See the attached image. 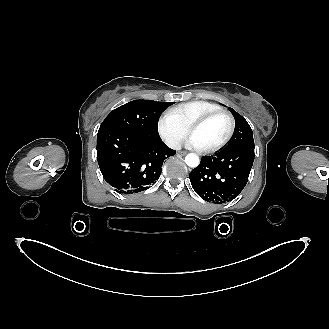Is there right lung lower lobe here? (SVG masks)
Wrapping results in <instances>:
<instances>
[{
    "label": "right lung lower lobe",
    "instance_id": "98d812e1",
    "mask_svg": "<svg viewBox=\"0 0 329 329\" xmlns=\"http://www.w3.org/2000/svg\"><path fill=\"white\" fill-rule=\"evenodd\" d=\"M175 155L160 137L104 130L97 134V160L101 173L122 194L148 189L162 172L166 158Z\"/></svg>",
    "mask_w": 329,
    "mask_h": 329
}]
</instances>
